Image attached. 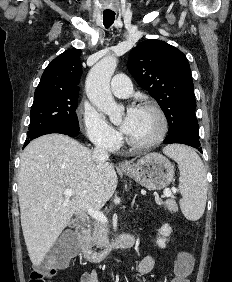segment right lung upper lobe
Returning <instances> with one entry per match:
<instances>
[{"instance_id":"right-lung-upper-lobe-1","label":"right lung upper lobe","mask_w":232,"mask_h":282,"mask_svg":"<svg viewBox=\"0 0 232 282\" xmlns=\"http://www.w3.org/2000/svg\"><path fill=\"white\" fill-rule=\"evenodd\" d=\"M80 54L79 49L67 50L52 60L43 72L35 93H78L82 76Z\"/></svg>"}]
</instances>
